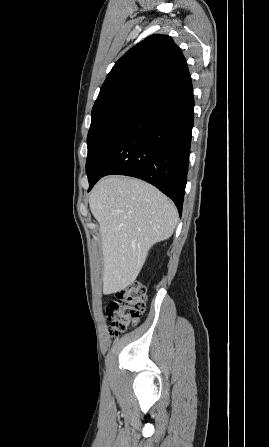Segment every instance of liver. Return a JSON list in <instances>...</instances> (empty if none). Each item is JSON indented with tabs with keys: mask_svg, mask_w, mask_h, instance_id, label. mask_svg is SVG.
Here are the masks:
<instances>
[{
	"mask_svg": "<svg viewBox=\"0 0 269 447\" xmlns=\"http://www.w3.org/2000/svg\"><path fill=\"white\" fill-rule=\"evenodd\" d=\"M89 206L102 239L103 293L121 291L134 283L150 247L172 235L177 210L151 184L118 176L94 186Z\"/></svg>",
	"mask_w": 269,
	"mask_h": 447,
	"instance_id": "obj_1",
	"label": "liver"
}]
</instances>
